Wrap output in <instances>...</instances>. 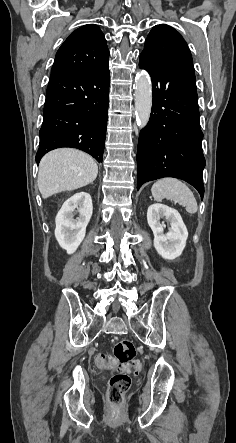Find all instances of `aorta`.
<instances>
[{"label": "aorta", "mask_w": 236, "mask_h": 443, "mask_svg": "<svg viewBox=\"0 0 236 443\" xmlns=\"http://www.w3.org/2000/svg\"><path fill=\"white\" fill-rule=\"evenodd\" d=\"M135 113L138 126L144 128L150 118L152 107V87L149 76L141 72L135 83Z\"/></svg>", "instance_id": "762f6f07"}]
</instances>
